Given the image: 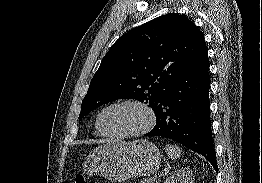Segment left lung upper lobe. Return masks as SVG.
<instances>
[{"instance_id": "left-lung-upper-lobe-1", "label": "left lung upper lobe", "mask_w": 262, "mask_h": 183, "mask_svg": "<svg viewBox=\"0 0 262 183\" xmlns=\"http://www.w3.org/2000/svg\"><path fill=\"white\" fill-rule=\"evenodd\" d=\"M206 48L202 32L176 13L128 31L102 59L82 101L79 120L120 98L146 101L156 113L174 81Z\"/></svg>"}]
</instances>
